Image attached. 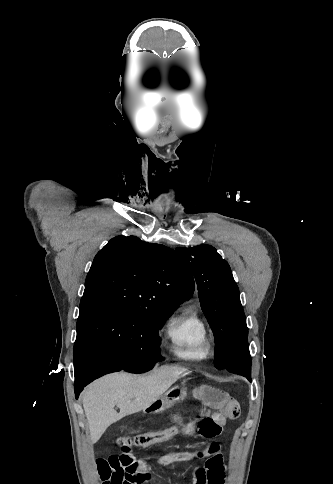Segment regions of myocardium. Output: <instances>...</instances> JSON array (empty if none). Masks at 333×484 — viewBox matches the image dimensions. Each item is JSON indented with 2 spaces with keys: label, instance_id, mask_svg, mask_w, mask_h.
I'll use <instances>...</instances> for the list:
<instances>
[{
  "label": "myocardium",
  "instance_id": "obj_1",
  "mask_svg": "<svg viewBox=\"0 0 333 484\" xmlns=\"http://www.w3.org/2000/svg\"><path fill=\"white\" fill-rule=\"evenodd\" d=\"M210 348H211V345L209 344V350H210Z\"/></svg>",
  "mask_w": 333,
  "mask_h": 484
}]
</instances>
